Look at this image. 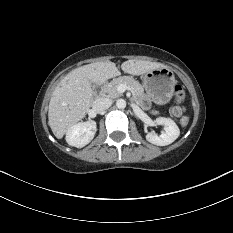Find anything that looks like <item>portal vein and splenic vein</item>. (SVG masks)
I'll return each instance as SVG.
<instances>
[{
  "mask_svg": "<svg viewBox=\"0 0 233 233\" xmlns=\"http://www.w3.org/2000/svg\"><path fill=\"white\" fill-rule=\"evenodd\" d=\"M119 88L122 89V90H126L128 87H126L124 85H120Z\"/></svg>",
  "mask_w": 233,
  "mask_h": 233,
  "instance_id": "obj_1",
  "label": "portal vein and splenic vein"
}]
</instances>
